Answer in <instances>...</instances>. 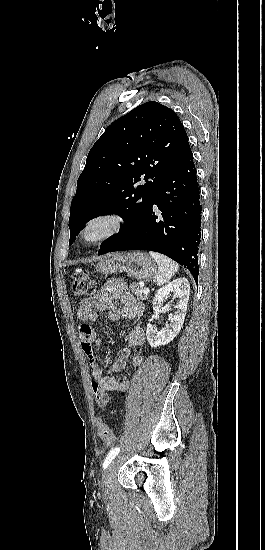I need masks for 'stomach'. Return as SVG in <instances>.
<instances>
[{"label": "stomach", "mask_w": 265, "mask_h": 550, "mask_svg": "<svg viewBox=\"0 0 265 550\" xmlns=\"http://www.w3.org/2000/svg\"><path fill=\"white\" fill-rule=\"evenodd\" d=\"M95 267L103 274L124 272L143 281H150L156 271L153 260L144 252L107 254L99 258Z\"/></svg>", "instance_id": "1"}]
</instances>
